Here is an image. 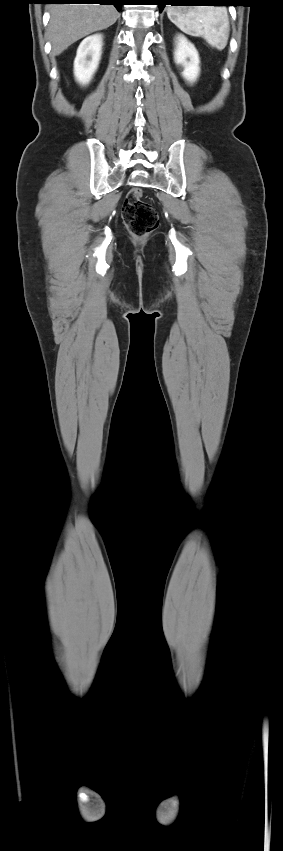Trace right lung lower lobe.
I'll use <instances>...</instances> for the list:
<instances>
[{
    "label": "right lung lower lobe",
    "instance_id": "1",
    "mask_svg": "<svg viewBox=\"0 0 283 851\" xmlns=\"http://www.w3.org/2000/svg\"><path fill=\"white\" fill-rule=\"evenodd\" d=\"M124 0H45L47 4H106L114 5L120 11Z\"/></svg>",
    "mask_w": 283,
    "mask_h": 851
}]
</instances>
